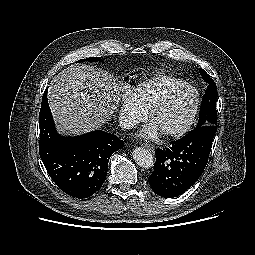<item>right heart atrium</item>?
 I'll return each mask as SVG.
<instances>
[{"mask_svg": "<svg viewBox=\"0 0 255 255\" xmlns=\"http://www.w3.org/2000/svg\"><path fill=\"white\" fill-rule=\"evenodd\" d=\"M120 121L125 128H133L147 118L146 111L137 101L130 88H124L120 98Z\"/></svg>", "mask_w": 255, "mask_h": 255, "instance_id": "d8ad5b80", "label": "right heart atrium"}]
</instances>
